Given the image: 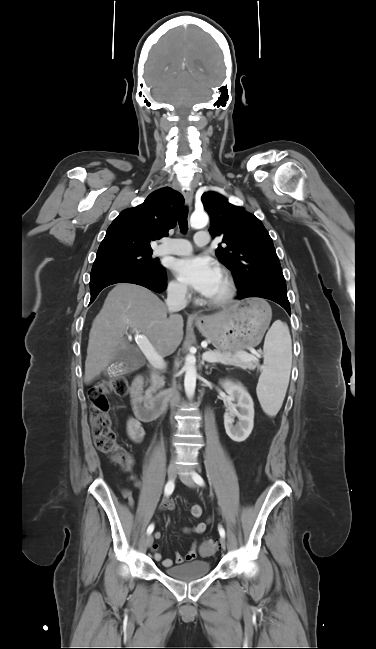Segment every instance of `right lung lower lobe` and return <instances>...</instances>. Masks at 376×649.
<instances>
[{
  "label": "right lung lower lobe",
  "instance_id": "obj_1",
  "mask_svg": "<svg viewBox=\"0 0 376 649\" xmlns=\"http://www.w3.org/2000/svg\"><path fill=\"white\" fill-rule=\"evenodd\" d=\"M121 282L141 285L157 293L167 287L165 269L161 265L158 269L112 266L91 272L90 304L103 288Z\"/></svg>",
  "mask_w": 376,
  "mask_h": 649
}]
</instances>
